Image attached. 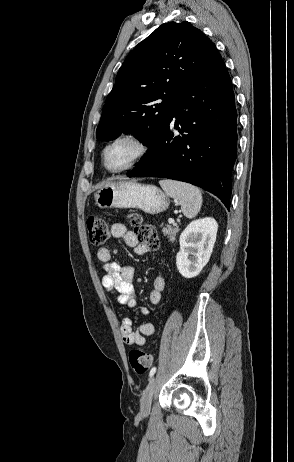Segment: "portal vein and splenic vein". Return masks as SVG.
Returning a JSON list of instances; mask_svg holds the SVG:
<instances>
[{"instance_id": "18ae733b", "label": "portal vein and splenic vein", "mask_w": 294, "mask_h": 462, "mask_svg": "<svg viewBox=\"0 0 294 462\" xmlns=\"http://www.w3.org/2000/svg\"><path fill=\"white\" fill-rule=\"evenodd\" d=\"M168 222H169L170 224H174V220H173L172 218H170V219L168 220Z\"/></svg>"}]
</instances>
